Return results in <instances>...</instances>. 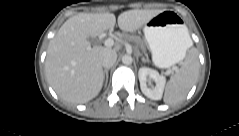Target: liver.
<instances>
[{
	"mask_svg": "<svg viewBox=\"0 0 239 136\" xmlns=\"http://www.w3.org/2000/svg\"><path fill=\"white\" fill-rule=\"evenodd\" d=\"M161 10H129L118 16L119 28L134 32ZM116 24L112 13H79L70 17L50 41L45 60L46 77L57 95L69 103H86L102 89L104 76L99 54L89 37H97Z\"/></svg>",
	"mask_w": 239,
	"mask_h": 136,
	"instance_id": "1",
	"label": "liver"
}]
</instances>
